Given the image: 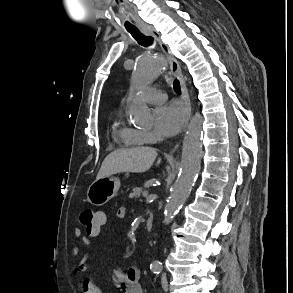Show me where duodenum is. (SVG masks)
I'll return each instance as SVG.
<instances>
[{
	"instance_id": "duodenum-1",
	"label": "duodenum",
	"mask_w": 293,
	"mask_h": 293,
	"mask_svg": "<svg viewBox=\"0 0 293 293\" xmlns=\"http://www.w3.org/2000/svg\"><path fill=\"white\" fill-rule=\"evenodd\" d=\"M153 227H154V216L153 214L151 213L148 217H147V220H146V228L148 231H152L153 230Z\"/></svg>"
}]
</instances>
